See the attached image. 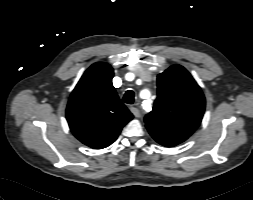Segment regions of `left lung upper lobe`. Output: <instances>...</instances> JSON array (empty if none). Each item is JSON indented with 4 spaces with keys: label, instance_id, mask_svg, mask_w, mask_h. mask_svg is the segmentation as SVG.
Masks as SVG:
<instances>
[{
    "label": "left lung upper lobe",
    "instance_id": "1",
    "mask_svg": "<svg viewBox=\"0 0 253 200\" xmlns=\"http://www.w3.org/2000/svg\"><path fill=\"white\" fill-rule=\"evenodd\" d=\"M158 97L146 127L190 136L201 123L205 98L190 73L173 65L157 77Z\"/></svg>",
    "mask_w": 253,
    "mask_h": 200
}]
</instances>
